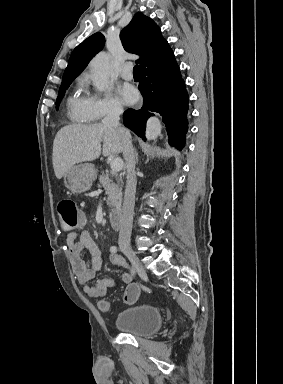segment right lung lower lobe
Masks as SVG:
<instances>
[{"label": "right lung lower lobe", "mask_w": 283, "mask_h": 384, "mask_svg": "<svg viewBox=\"0 0 283 384\" xmlns=\"http://www.w3.org/2000/svg\"><path fill=\"white\" fill-rule=\"evenodd\" d=\"M138 88L143 96V106L126 110L124 125L145 140L147 119L155 113L160 114L169 144L181 150L188 130V94L176 61L164 70L142 75Z\"/></svg>", "instance_id": "obj_1"}]
</instances>
